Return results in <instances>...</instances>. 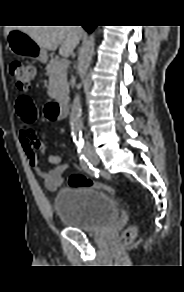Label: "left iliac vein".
I'll use <instances>...</instances> for the list:
<instances>
[{"label": "left iliac vein", "instance_id": "left-iliac-vein-1", "mask_svg": "<svg viewBox=\"0 0 184 292\" xmlns=\"http://www.w3.org/2000/svg\"><path fill=\"white\" fill-rule=\"evenodd\" d=\"M91 158H92L91 161H92L93 164H97L98 163V159H97L96 156H92Z\"/></svg>", "mask_w": 184, "mask_h": 292}]
</instances>
